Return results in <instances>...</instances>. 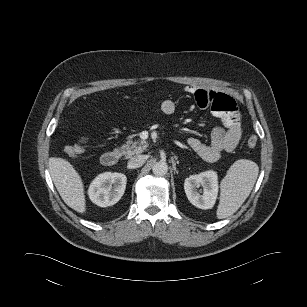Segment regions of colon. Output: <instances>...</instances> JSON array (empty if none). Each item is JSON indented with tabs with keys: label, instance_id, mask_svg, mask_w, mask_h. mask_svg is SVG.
<instances>
[{
	"label": "colon",
	"instance_id": "colon-1",
	"mask_svg": "<svg viewBox=\"0 0 307 307\" xmlns=\"http://www.w3.org/2000/svg\"><path fill=\"white\" fill-rule=\"evenodd\" d=\"M258 144V138L255 135H249L246 139V146L249 150L256 148ZM85 149V139L82 138L78 142L68 145L65 147V152L70 157H77L84 152Z\"/></svg>",
	"mask_w": 307,
	"mask_h": 307
}]
</instances>
